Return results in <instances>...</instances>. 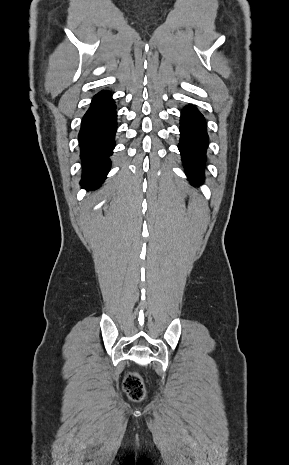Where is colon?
I'll use <instances>...</instances> for the list:
<instances>
[{
	"label": "colon",
	"instance_id": "obj_1",
	"mask_svg": "<svg viewBox=\"0 0 289 465\" xmlns=\"http://www.w3.org/2000/svg\"><path fill=\"white\" fill-rule=\"evenodd\" d=\"M124 388L133 399H141L144 395L142 381L136 373H130L127 375L124 381Z\"/></svg>",
	"mask_w": 289,
	"mask_h": 465
}]
</instances>
